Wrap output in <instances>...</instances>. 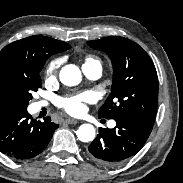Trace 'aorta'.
<instances>
[{
  "label": "aorta",
  "instance_id": "1",
  "mask_svg": "<svg viewBox=\"0 0 183 183\" xmlns=\"http://www.w3.org/2000/svg\"><path fill=\"white\" fill-rule=\"evenodd\" d=\"M60 81L66 86H76L82 80L80 69L74 64L65 65L59 74ZM96 130L91 124H82L77 130L78 139L82 142L93 141Z\"/></svg>",
  "mask_w": 183,
  "mask_h": 183
}]
</instances>
